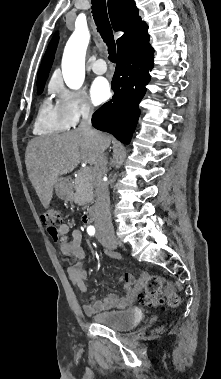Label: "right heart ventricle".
<instances>
[{"mask_svg": "<svg viewBox=\"0 0 221 379\" xmlns=\"http://www.w3.org/2000/svg\"><path fill=\"white\" fill-rule=\"evenodd\" d=\"M71 127L57 104L50 98L41 101L34 121V132L39 135H49L68 130Z\"/></svg>", "mask_w": 221, "mask_h": 379, "instance_id": "obj_1", "label": "right heart ventricle"}]
</instances>
